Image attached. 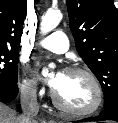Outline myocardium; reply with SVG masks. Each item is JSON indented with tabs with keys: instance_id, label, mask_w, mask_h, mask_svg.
I'll list each match as a JSON object with an SVG mask.
<instances>
[{
	"instance_id": "myocardium-1",
	"label": "myocardium",
	"mask_w": 118,
	"mask_h": 123,
	"mask_svg": "<svg viewBox=\"0 0 118 123\" xmlns=\"http://www.w3.org/2000/svg\"><path fill=\"white\" fill-rule=\"evenodd\" d=\"M66 72L85 75L94 88L95 100L93 104L87 108L75 109L63 104L59 99V97L57 96L56 92L52 91V100L55 106L59 108L61 111H63L64 113L69 114L71 116L80 117V116H88L96 113L103 104L104 93H103V88L99 80L95 76V74L87 68L78 67V66L68 67L66 69Z\"/></svg>"
}]
</instances>
